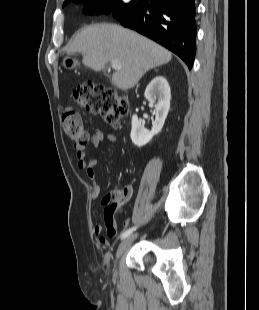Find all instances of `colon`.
Here are the masks:
<instances>
[{"label":"colon","mask_w":259,"mask_h":310,"mask_svg":"<svg viewBox=\"0 0 259 310\" xmlns=\"http://www.w3.org/2000/svg\"><path fill=\"white\" fill-rule=\"evenodd\" d=\"M72 99L84 111L100 115L112 127H119L121 117L127 110V102L116 90L102 84H82L74 89ZM65 134L76 144L83 145L88 136L74 105H67L62 117ZM125 201L124 190L115 189L107 193L103 203L107 210H116Z\"/></svg>","instance_id":"colon-1"}]
</instances>
